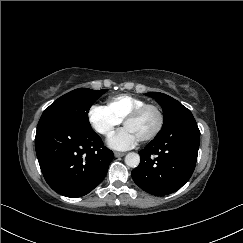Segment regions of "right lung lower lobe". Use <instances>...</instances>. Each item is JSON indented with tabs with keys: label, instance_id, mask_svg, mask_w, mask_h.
<instances>
[{
	"label": "right lung lower lobe",
	"instance_id": "98d812e1",
	"mask_svg": "<svg viewBox=\"0 0 243 243\" xmlns=\"http://www.w3.org/2000/svg\"><path fill=\"white\" fill-rule=\"evenodd\" d=\"M35 148L48 185L71 198L98 186L114 158L93 130L58 124L37 129Z\"/></svg>",
	"mask_w": 243,
	"mask_h": 243
}]
</instances>
